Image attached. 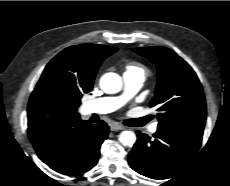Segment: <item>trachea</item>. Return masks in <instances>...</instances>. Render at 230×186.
I'll list each match as a JSON object with an SVG mask.
<instances>
[{"mask_svg": "<svg viewBox=\"0 0 230 186\" xmlns=\"http://www.w3.org/2000/svg\"><path fill=\"white\" fill-rule=\"evenodd\" d=\"M133 122H137V121H135V120H128V121L125 122V124L128 125V126H134Z\"/></svg>", "mask_w": 230, "mask_h": 186, "instance_id": "1", "label": "trachea"}]
</instances>
